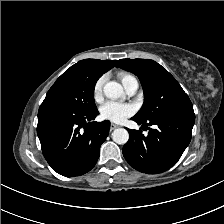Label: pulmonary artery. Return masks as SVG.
<instances>
[{"instance_id":"1","label":"pulmonary artery","mask_w":224,"mask_h":224,"mask_svg":"<svg viewBox=\"0 0 224 224\" xmlns=\"http://www.w3.org/2000/svg\"><path fill=\"white\" fill-rule=\"evenodd\" d=\"M128 95H134L138 89V82L135 78L131 79L125 86H124Z\"/></svg>"}]
</instances>
